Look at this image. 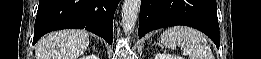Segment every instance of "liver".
<instances>
[{
    "label": "liver",
    "mask_w": 261,
    "mask_h": 59,
    "mask_svg": "<svg viewBox=\"0 0 261 59\" xmlns=\"http://www.w3.org/2000/svg\"><path fill=\"white\" fill-rule=\"evenodd\" d=\"M89 46L84 30H61L46 34L36 44V59H77Z\"/></svg>",
    "instance_id": "liver-1"
}]
</instances>
